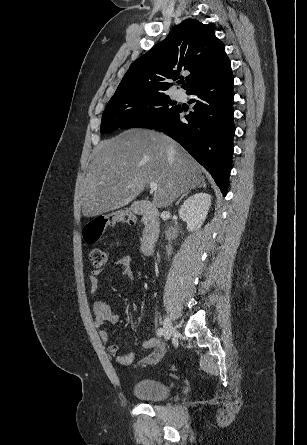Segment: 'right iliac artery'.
I'll use <instances>...</instances> for the list:
<instances>
[{
	"label": "right iliac artery",
	"mask_w": 307,
	"mask_h": 445,
	"mask_svg": "<svg viewBox=\"0 0 307 445\" xmlns=\"http://www.w3.org/2000/svg\"><path fill=\"white\" fill-rule=\"evenodd\" d=\"M163 332H164V330H163L162 328H159V329L157 330V335L160 337V336L163 335Z\"/></svg>",
	"instance_id": "right-iliac-artery-1"
}]
</instances>
